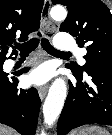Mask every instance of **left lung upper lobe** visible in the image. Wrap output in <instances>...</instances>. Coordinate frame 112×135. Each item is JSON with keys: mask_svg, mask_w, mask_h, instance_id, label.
<instances>
[{"mask_svg": "<svg viewBox=\"0 0 112 135\" xmlns=\"http://www.w3.org/2000/svg\"><path fill=\"white\" fill-rule=\"evenodd\" d=\"M67 7L68 15L60 31L76 37L77 44L85 47L86 64L71 68L82 74L92 68H112V15L101 0H52Z\"/></svg>", "mask_w": 112, "mask_h": 135, "instance_id": "obj_1", "label": "left lung upper lobe"}]
</instances>
